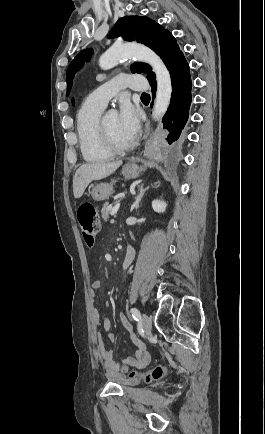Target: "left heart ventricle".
Wrapping results in <instances>:
<instances>
[{
    "label": "left heart ventricle",
    "mask_w": 265,
    "mask_h": 434,
    "mask_svg": "<svg viewBox=\"0 0 265 434\" xmlns=\"http://www.w3.org/2000/svg\"><path fill=\"white\" fill-rule=\"evenodd\" d=\"M105 122L112 134L113 141L120 146H128L131 143L124 139L119 130L118 116L116 114L109 115L104 118Z\"/></svg>",
    "instance_id": "left-heart-ventricle-1"
}]
</instances>
